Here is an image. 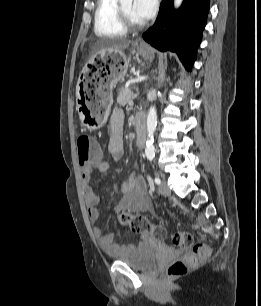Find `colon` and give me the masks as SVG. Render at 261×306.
Listing matches in <instances>:
<instances>
[{"instance_id": "obj_1", "label": "colon", "mask_w": 261, "mask_h": 306, "mask_svg": "<svg viewBox=\"0 0 261 306\" xmlns=\"http://www.w3.org/2000/svg\"><path fill=\"white\" fill-rule=\"evenodd\" d=\"M78 161L80 166L85 167L102 160V150L99 144L92 141L89 135H81L77 139ZM120 223L137 234H148L155 239L167 238V231L160 225L150 222L141 215L121 213ZM193 236L188 231H177L172 235L174 247L181 250H189L181 258L172 261L168 267L171 277L185 274L189 269L204 263L210 254V248L205 244L193 246Z\"/></svg>"}]
</instances>
